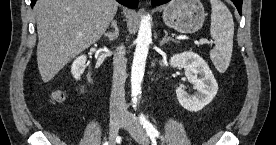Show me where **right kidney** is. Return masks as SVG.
Masks as SVG:
<instances>
[{"label":"right kidney","instance_id":"obj_1","mask_svg":"<svg viewBox=\"0 0 276 145\" xmlns=\"http://www.w3.org/2000/svg\"><path fill=\"white\" fill-rule=\"evenodd\" d=\"M86 60L85 55H81L74 60L71 66V73L76 80H79L81 74L84 72Z\"/></svg>","mask_w":276,"mask_h":145}]
</instances>
